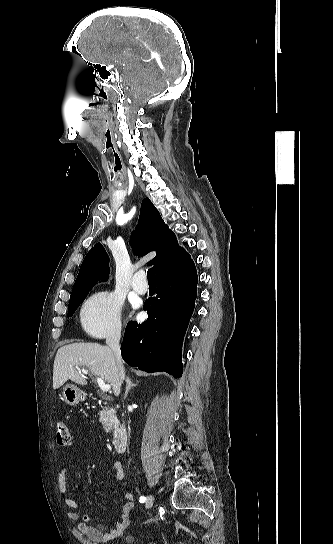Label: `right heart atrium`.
Segmentation results:
<instances>
[{
    "instance_id": "right-heart-atrium-1",
    "label": "right heart atrium",
    "mask_w": 333,
    "mask_h": 544,
    "mask_svg": "<svg viewBox=\"0 0 333 544\" xmlns=\"http://www.w3.org/2000/svg\"><path fill=\"white\" fill-rule=\"evenodd\" d=\"M122 300L110 291L92 295L81 309L83 329L91 336L105 338L118 336L121 332Z\"/></svg>"
}]
</instances>
